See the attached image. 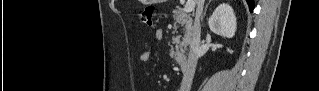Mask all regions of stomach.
Masks as SVG:
<instances>
[{
  "label": "stomach",
  "mask_w": 319,
  "mask_h": 91,
  "mask_svg": "<svg viewBox=\"0 0 319 91\" xmlns=\"http://www.w3.org/2000/svg\"><path fill=\"white\" fill-rule=\"evenodd\" d=\"M144 3L146 4H152V3H157V2H160L161 0H143Z\"/></svg>",
  "instance_id": "1"
}]
</instances>
